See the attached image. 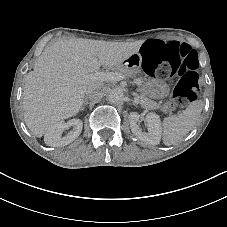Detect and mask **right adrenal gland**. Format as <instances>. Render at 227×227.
Wrapping results in <instances>:
<instances>
[{"mask_svg": "<svg viewBox=\"0 0 227 227\" xmlns=\"http://www.w3.org/2000/svg\"><path fill=\"white\" fill-rule=\"evenodd\" d=\"M86 100H87V98H85L84 105L86 104Z\"/></svg>", "mask_w": 227, "mask_h": 227, "instance_id": "1", "label": "right adrenal gland"}]
</instances>
